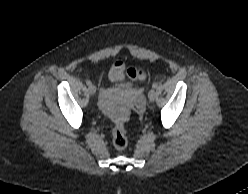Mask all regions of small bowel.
Segmentation results:
<instances>
[{
    "label": "small bowel",
    "mask_w": 248,
    "mask_h": 194,
    "mask_svg": "<svg viewBox=\"0 0 248 194\" xmlns=\"http://www.w3.org/2000/svg\"><path fill=\"white\" fill-rule=\"evenodd\" d=\"M110 80L112 81H122L124 78H130L132 80H142L144 78V74L141 71H137L133 68H125L123 62H116L109 74Z\"/></svg>",
    "instance_id": "small-bowel-1"
}]
</instances>
